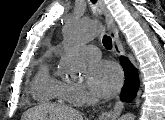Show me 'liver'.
I'll return each mask as SVG.
<instances>
[{
    "label": "liver",
    "instance_id": "1",
    "mask_svg": "<svg viewBox=\"0 0 165 120\" xmlns=\"http://www.w3.org/2000/svg\"><path fill=\"white\" fill-rule=\"evenodd\" d=\"M51 107L38 106L26 111L23 115V120H42L45 118ZM52 113L59 118V120H83L81 114L75 109L69 107H52Z\"/></svg>",
    "mask_w": 165,
    "mask_h": 120
}]
</instances>
